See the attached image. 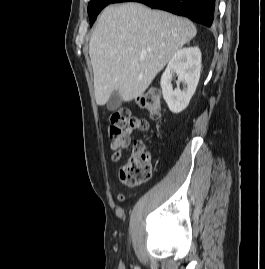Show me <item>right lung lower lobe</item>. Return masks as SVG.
<instances>
[{
  "mask_svg": "<svg viewBox=\"0 0 265 269\" xmlns=\"http://www.w3.org/2000/svg\"><path fill=\"white\" fill-rule=\"evenodd\" d=\"M119 2H139L151 8L162 9L210 27L216 12V0H114Z\"/></svg>",
  "mask_w": 265,
  "mask_h": 269,
  "instance_id": "obj_1",
  "label": "right lung lower lobe"
}]
</instances>
